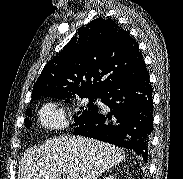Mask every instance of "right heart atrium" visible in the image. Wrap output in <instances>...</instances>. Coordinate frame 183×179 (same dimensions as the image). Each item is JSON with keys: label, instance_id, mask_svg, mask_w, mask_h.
<instances>
[{"label": "right heart atrium", "instance_id": "1", "mask_svg": "<svg viewBox=\"0 0 183 179\" xmlns=\"http://www.w3.org/2000/svg\"><path fill=\"white\" fill-rule=\"evenodd\" d=\"M40 119L41 122L49 128H61L66 122L64 111L52 104L43 107Z\"/></svg>", "mask_w": 183, "mask_h": 179}]
</instances>
